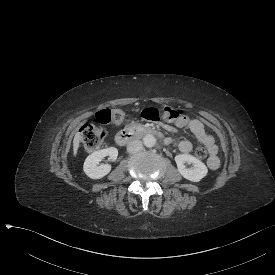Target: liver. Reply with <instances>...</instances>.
I'll return each mask as SVG.
<instances>
[{
	"instance_id": "liver-1",
	"label": "liver",
	"mask_w": 275,
	"mask_h": 275,
	"mask_svg": "<svg viewBox=\"0 0 275 275\" xmlns=\"http://www.w3.org/2000/svg\"><path fill=\"white\" fill-rule=\"evenodd\" d=\"M80 140H81L80 134L76 133L75 136H74V139H73V153H74V156H76V154H77Z\"/></svg>"
}]
</instances>
